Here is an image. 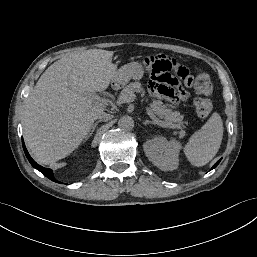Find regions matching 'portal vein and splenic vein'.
Masks as SVG:
<instances>
[{
  "instance_id": "obj_1",
  "label": "portal vein and splenic vein",
  "mask_w": 257,
  "mask_h": 257,
  "mask_svg": "<svg viewBox=\"0 0 257 257\" xmlns=\"http://www.w3.org/2000/svg\"><path fill=\"white\" fill-rule=\"evenodd\" d=\"M88 97L89 99H91L92 101L100 104V105H108L109 103H112L113 101L110 100V99H106V98H101L99 95H95L93 93H89L88 94ZM136 98V95L135 94H132V95H129V96H121L119 97L117 100H116V103L118 104H122V103H129V102H132L134 101ZM146 109V112L147 114L150 116L151 119L154 120L155 123L159 124V125H162V122L159 121L154 113L152 112V110L149 108V107H145ZM166 126L170 127V128H181L180 125H177V124H172V123H169V124H166Z\"/></svg>"
}]
</instances>
